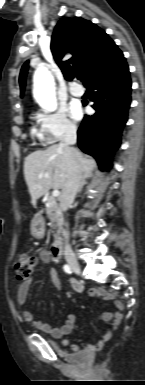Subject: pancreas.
Wrapping results in <instances>:
<instances>
[{
	"mask_svg": "<svg viewBox=\"0 0 145 385\" xmlns=\"http://www.w3.org/2000/svg\"><path fill=\"white\" fill-rule=\"evenodd\" d=\"M46 214L51 223H53L55 228H58V234L61 231V226L63 224L62 215L60 213L58 204L53 197H50L47 200L46 205Z\"/></svg>",
	"mask_w": 145,
	"mask_h": 385,
	"instance_id": "obj_1",
	"label": "pancreas"
}]
</instances>
